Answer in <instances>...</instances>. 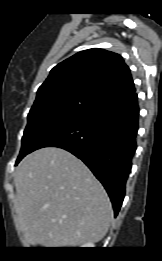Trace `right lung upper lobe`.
Listing matches in <instances>:
<instances>
[{
    "instance_id": "cb5924a9",
    "label": "right lung upper lobe",
    "mask_w": 162,
    "mask_h": 261,
    "mask_svg": "<svg viewBox=\"0 0 162 261\" xmlns=\"http://www.w3.org/2000/svg\"><path fill=\"white\" fill-rule=\"evenodd\" d=\"M135 91L123 58L104 49L81 51L55 66L37 98L68 92L84 93L100 103Z\"/></svg>"
}]
</instances>
